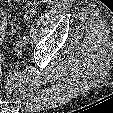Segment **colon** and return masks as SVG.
Instances as JSON below:
<instances>
[{"label": "colon", "mask_w": 113, "mask_h": 113, "mask_svg": "<svg viewBox=\"0 0 113 113\" xmlns=\"http://www.w3.org/2000/svg\"><path fill=\"white\" fill-rule=\"evenodd\" d=\"M19 0H6L5 2H17ZM40 1L39 0H27L25 2V12L26 13H33L36 10V7Z\"/></svg>", "instance_id": "obj_1"}]
</instances>
